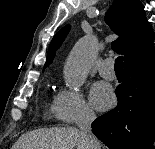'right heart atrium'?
I'll return each instance as SVG.
<instances>
[{"label": "right heart atrium", "instance_id": "obj_1", "mask_svg": "<svg viewBox=\"0 0 155 149\" xmlns=\"http://www.w3.org/2000/svg\"><path fill=\"white\" fill-rule=\"evenodd\" d=\"M55 115L66 125L87 124L96 115L91 106L78 90L62 89L54 99Z\"/></svg>", "mask_w": 155, "mask_h": 149}]
</instances>
